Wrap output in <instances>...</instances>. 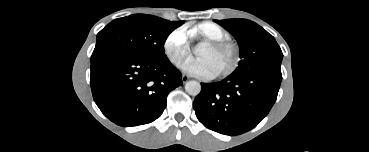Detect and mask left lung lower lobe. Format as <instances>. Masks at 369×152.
<instances>
[{
	"label": "left lung lower lobe",
	"instance_id": "left-lung-lower-lobe-1",
	"mask_svg": "<svg viewBox=\"0 0 369 152\" xmlns=\"http://www.w3.org/2000/svg\"><path fill=\"white\" fill-rule=\"evenodd\" d=\"M282 75L230 74L220 82L204 84L193 107L198 120L221 134L239 135L254 128L276 101Z\"/></svg>",
	"mask_w": 369,
	"mask_h": 152
}]
</instances>
